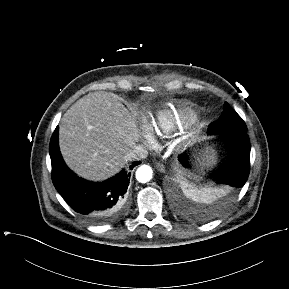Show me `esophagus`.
I'll return each mask as SVG.
<instances>
[{"instance_id":"esophagus-1","label":"esophagus","mask_w":289,"mask_h":289,"mask_svg":"<svg viewBox=\"0 0 289 289\" xmlns=\"http://www.w3.org/2000/svg\"><path fill=\"white\" fill-rule=\"evenodd\" d=\"M155 167H156V169H157L158 171H160V172H162V173L165 172V166H164L162 163L156 162V163H155Z\"/></svg>"}]
</instances>
